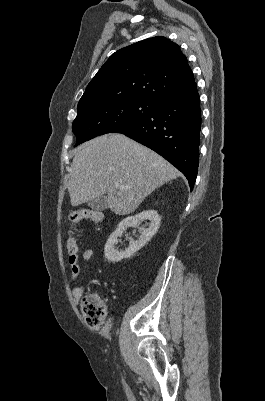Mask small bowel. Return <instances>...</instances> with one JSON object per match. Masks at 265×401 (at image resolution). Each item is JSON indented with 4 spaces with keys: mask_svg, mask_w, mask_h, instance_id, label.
<instances>
[{
    "mask_svg": "<svg viewBox=\"0 0 265 401\" xmlns=\"http://www.w3.org/2000/svg\"><path fill=\"white\" fill-rule=\"evenodd\" d=\"M81 255V258L84 263L89 262L93 256H94V250L92 248L85 249L84 251L80 252L78 249L75 255H69L68 254V265L70 267V281L73 282L75 279L79 277L81 274V266L79 265V256ZM85 291V285L83 283H80L76 285L72 289V296L74 298V301L77 303L80 301L83 293Z\"/></svg>",
    "mask_w": 265,
    "mask_h": 401,
    "instance_id": "small-bowel-1",
    "label": "small bowel"
}]
</instances>
